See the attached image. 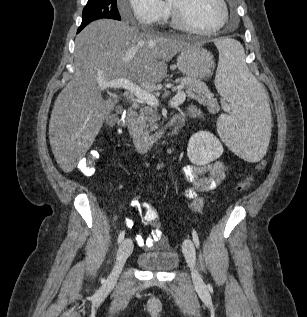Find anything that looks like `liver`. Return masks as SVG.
Masks as SVG:
<instances>
[{
    "label": "liver",
    "mask_w": 307,
    "mask_h": 317,
    "mask_svg": "<svg viewBox=\"0 0 307 317\" xmlns=\"http://www.w3.org/2000/svg\"><path fill=\"white\" fill-rule=\"evenodd\" d=\"M189 45L110 19L86 26L75 39L74 75L55 100L49 121L50 146L60 168L66 173L75 168L118 102L116 96L102 97L98 81L154 86L166 77L167 62Z\"/></svg>",
    "instance_id": "obj_1"
}]
</instances>
